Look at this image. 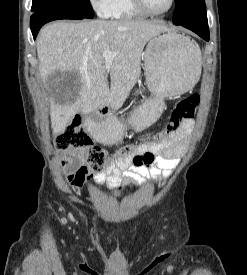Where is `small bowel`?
<instances>
[{"mask_svg":"<svg viewBox=\"0 0 247 275\" xmlns=\"http://www.w3.org/2000/svg\"><path fill=\"white\" fill-rule=\"evenodd\" d=\"M193 121L187 120L182 128L173 136L158 143L143 144L136 150L142 158L135 161L134 157L112 159L104 171L92 174L88 171L82 154L62 152L58 159L62 173L74 190H79L90 182L109 189L123 183L143 184L147 180L159 181L167 177L179 163V157L185 150Z\"/></svg>","mask_w":247,"mask_h":275,"instance_id":"obj_1","label":"small bowel"}]
</instances>
